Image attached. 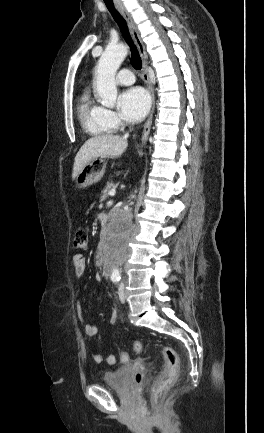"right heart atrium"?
<instances>
[{
    "instance_id": "obj_1",
    "label": "right heart atrium",
    "mask_w": 264,
    "mask_h": 433,
    "mask_svg": "<svg viewBox=\"0 0 264 433\" xmlns=\"http://www.w3.org/2000/svg\"><path fill=\"white\" fill-rule=\"evenodd\" d=\"M105 117L108 121V123L113 127V128H117L120 126L121 121L118 117V115L109 109H105Z\"/></svg>"
}]
</instances>
